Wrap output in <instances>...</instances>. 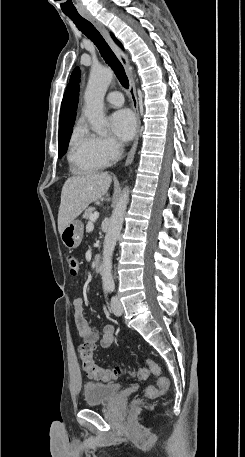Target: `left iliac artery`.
I'll return each mask as SVG.
<instances>
[{"label": "left iliac artery", "instance_id": "44dca946", "mask_svg": "<svg viewBox=\"0 0 245 457\" xmlns=\"http://www.w3.org/2000/svg\"><path fill=\"white\" fill-rule=\"evenodd\" d=\"M114 288H115L114 286H109V287H108V289H109L110 291H113Z\"/></svg>", "mask_w": 245, "mask_h": 457}]
</instances>
